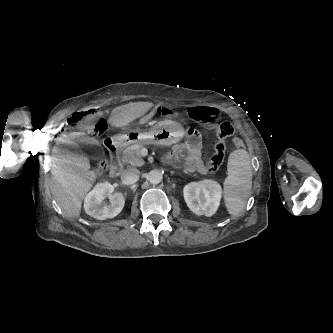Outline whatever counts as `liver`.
I'll return each mask as SVG.
<instances>
[{"instance_id": "obj_1", "label": "liver", "mask_w": 333, "mask_h": 333, "mask_svg": "<svg viewBox=\"0 0 333 333\" xmlns=\"http://www.w3.org/2000/svg\"><path fill=\"white\" fill-rule=\"evenodd\" d=\"M153 103L130 102L112 110L109 122L114 127H124L144 115ZM103 117L102 111L88 114L85 122L93 123ZM62 143L76 144L66 134ZM50 190L63 214L69 218L80 216L82 200L91 189L95 174L90 171V162L86 156L73 154L58 146L52 149Z\"/></svg>"}]
</instances>
